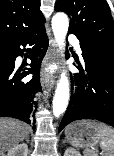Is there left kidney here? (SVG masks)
I'll return each instance as SVG.
<instances>
[{
    "mask_svg": "<svg viewBox=\"0 0 114 156\" xmlns=\"http://www.w3.org/2000/svg\"><path fill=\"white\" fill-rule=\"evenodd\" d=\"M64 156H81V154L76 149L69 147L66 149Z\"/></svg>",
    "mask_w": 114,
    "mask_h": 156,
    "instance_id": "5707ae66",
    "label": "left kidney"
}]
</instances>
